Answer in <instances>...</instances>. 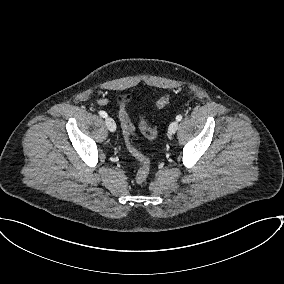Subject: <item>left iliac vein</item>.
Returning <instances> with one entry per match:
<instances>
[{
    "label": "left iliac vein",
    "mask_w": 284,
    "mask_h": 284,
    "mask_svg": "<svg viewBox=\"0 0 284 284\" xmlns=\"http://www.w3.org/2000/svg\"><path fill=\"white\" fill-rule=\"evenodd\" d=\"M178 127H179V124H178L177 121L171 122V124L169 125V128H168V134L169 135L175 134V132L178 130Z\"/></svg>",
    "instance_id": "obj_1"
}]
</instances>
